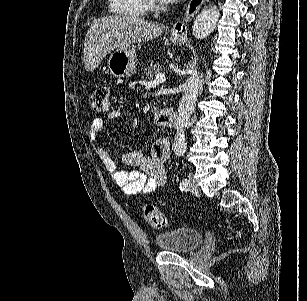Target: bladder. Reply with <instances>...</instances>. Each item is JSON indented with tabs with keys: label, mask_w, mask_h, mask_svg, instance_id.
Returning a JSON list of instances; mask_svg holds the SVG:
<instances>
[{
	"label": "bladder",
	"mask_w": 307,
	"mask_h": 301,
	"mask_svg": "<svg viewBox=\"0 0 307 301\" xmlns=\"http://www.w3.org/2000/svg\"><path fill=\"white\" fill-rule=\"evenodd\" d=\"M155 240L160 250L190 252L202 244L204 235L192 228H181L156 235Z\"/></svg>",
	"instance_id": "31cf9c89"
}]
</instances>
